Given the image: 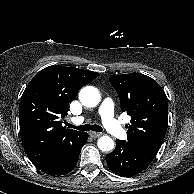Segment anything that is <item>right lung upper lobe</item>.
Masks as SVG:
<instances>
[{"label": "right lung upper lobe", "instance_id": "1", "mask_svg": "<svg viewBox=\"0 0 194 194\" xmlns=\"http://www.w3.org/2000/svg\"><path fill=\"white\" fill-rule=\"evenodd\" d=\"M99 74L75 67L53 65L42 69L28 84L20 101L19 123L23 148L40 167L71 145L82 132L62 126L69 103L80 88Z\"/></svg>", "mask_w": 194, "mask_h": 194}]
</instances>
